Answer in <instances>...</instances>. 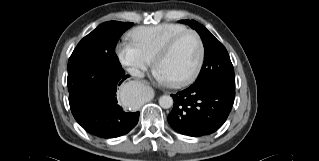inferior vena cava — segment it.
I'll return each instance as SVG.
<instances>
[{
  "label": "inferior vena cava",
  "instance_id": "602c4592",
  "mask_svg": "<svg viewBox=\"0 0 319 161\" xmlns=\"http://www.w3.org/2000/svg\"><path fill=\"white\" fill-rule=\"evenodd\" d=\"M127 71L129 72L130 75H132L134 77H139V78L144 77V73L142 71H140L138 68L129 67L127 69Z\"/></svg>",
  "mask_w": 319,
  "mask_h": 161
}]
</instances>
